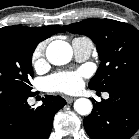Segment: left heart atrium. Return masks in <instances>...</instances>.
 <instances>
[{
  "mask_svg": "<svg viewBox=\"0 0 139 139\" xmlns=\"http://www.w3.org/2000/svg\"><path fill=\"white\" fill-rule=\"evenodd\" d=\"M84 76L83 71L60 72L48 77L46 85L50 91L75 93L82 87Z\"/></svg>",
  "mask_w": 139,
  "mask_h": 139,
  "instance_id": "left-heart-atrium-1",
  "label": "left heart atrium"
}]
</instances>
